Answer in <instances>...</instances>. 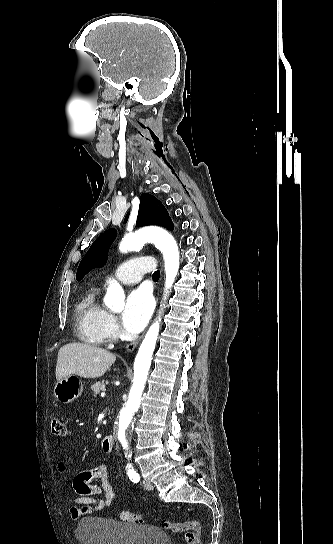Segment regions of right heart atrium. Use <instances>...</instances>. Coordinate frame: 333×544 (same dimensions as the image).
Masks as SVG:
<instances>
[{
  "label": "right heart atrium",
  "instance_id": "d8ad5b80",
  "mask_svg": "<svg viewBox=\"0 0 333 544\" xmlns=\"http://www.w3.org/2000/svg\"><path fill=\"white\" fill-rule=\"evenodd\" d=\"M104 329H105L106 338L110 340L116 339L120 334L118 322L116 318L111 314H108L105 320Z\"/></svg>",
  "mask_w": 333,
  "mask_h": 544
}]
</instances>
